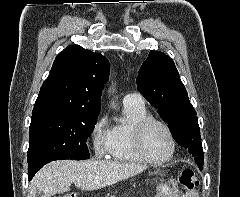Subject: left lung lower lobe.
<instances>
[{
  "label": "left lung lower lobe",
  "mask_w": 240,
  "mask_h": 197,
  "mask_svg": "<svg viewBox=\"0 0 240 197\" xmlns=\"http://www.w3.org/2000/svg\"><path fill=\"white\" fill-rule=\"evenodd\" d=\"M199 169H200V170H202V169H203V167H199Z\"/></svg>",
  "instance_id": "0a47b994"
}]
</instances>
